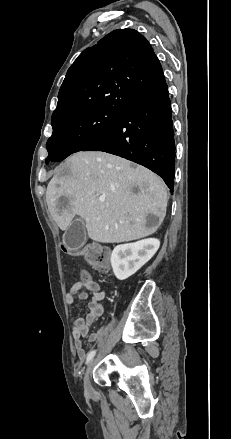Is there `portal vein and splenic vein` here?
Returning <instances> with one entry per match:
<instances>
[{"label":"portal vein and splenic vein","mask_w":231,"mask_h":439,"mask_svg":"<svg viewBox=\"0 0 231 439\" xmlns=\"http://www.w3.org/2000/svg\"><path fill=\"white\" fill-rule=\"evenodd\" d=\"M104 200L103 199H100V202H103Z\"/></svg>","instance_id":"obj_1"}]
</instances>
